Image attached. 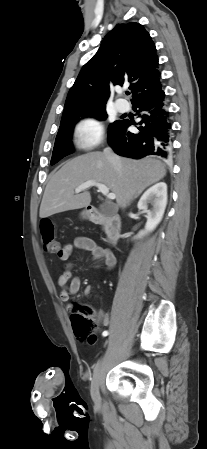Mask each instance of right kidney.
Wrapping results in <instances>:
<instances>
[{"label": "right kidney", "mask_w": 207, "mask_h": 449, "mask_svg": "<svg viewBox=\"0 0 207 449\" xmlns=\"http://www.w3.org/2000/svg\"><path fill=\"white\" fill-rule=\"evenodd\" d=\"M148 204L153 205L152 210H148ZM166 205L167 185L164 182L153 185L141 196L137 206L138 209L147 213V223L145 229L140 231L135 238H141L157 227L163 218Z\"/></svg>", "instance_id": "right-kidney-1"}]
</instances>
